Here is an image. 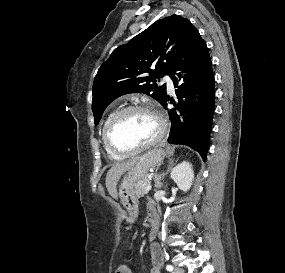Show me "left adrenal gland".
<instances>
[{"instance_id": "a2214340", "label": "left adrenal gland", "mask_w": 285, "mask_h": 273, "mask_svg": "<svg viewBox=\"0 0 285 273\" xmlns=\"http://www.w3.org/2000/svg\"><path fill=\"white\" fill-rule=\"evenodd\" d=\"M164 175H165V173H163L162 175H158V174L155 175V186L157 188H161V186H162L161 178L164 177Z\"/></svg>"}]
</instances>
